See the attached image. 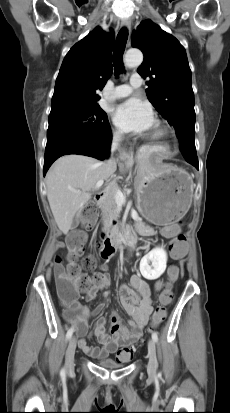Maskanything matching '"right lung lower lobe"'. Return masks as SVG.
<instances>
[{
  "instance_id": "right-lung-lower-lobe-1",
  "label": "right lung lower lobe",
  "mask_w": 230,
  "mask_h": 413,
  "mask_svg": "<svg viewBox=\"0 0 230 413\" xmlns=\"http://www.w3.org/2000/svg\"><path fill=\"white\" fill-rule=\"evenodd\" d=\"M111 138L112 135L109 129L107 133L92 138L67 137L47 144L44 156V175L51 164L63 155L79 154L94 157L100 160L105 159L109 155Z\"/></svg>"
}]
</instances>
